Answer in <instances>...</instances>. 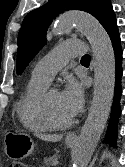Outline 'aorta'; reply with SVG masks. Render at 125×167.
I'll list each match as a JSON object with an SVG mask.
<instances>
[{"label":"aorta","mask_w":125,"mask_h":167,"mask_svg":"<svg viewBox=\"0 0 125 167\" xmlns=\"http://www.w3.org/2000/svg\"><path fill=\"white\" fill-rule=\"evenodd\" d=\"M73 26L86 36L94 56V96L72 155L74 167H87L110 113L115 86V55L105 29L94 17L83 12L61 15L52 35H60Z\"/></svg>","instance_id":"1"}]
</instances>
